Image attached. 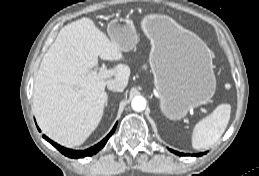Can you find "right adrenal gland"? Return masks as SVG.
<instances>
[{
    "label": "right adrenal gland",
    "mask_w": 259,
    "mask_h": 176,
    "mask_svg": "<svg viewBox=\"0 0 259 176\" xmlns=\"http://www.w3.org/2000/svg\"><path fill=\"white\" fill-rule=\"evenodd\" d=\"M111 98H113V95H110V97H108V101H110ZM107 105H108V104H107Z\"/></svg>",
    "instance_id": "1"
}]
</instances>
